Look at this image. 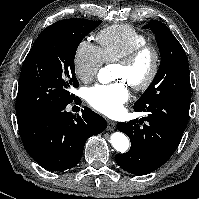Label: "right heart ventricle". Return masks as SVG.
Masks as SVG:
<instances>
[{
    "mask_svg": "<svg viewBox=\"0 0 199 199\" xmlns=\"http://www.w3.org/2000/svg\"><path fill=\"white\" fill-rule=\"evenodd\" d=\"M96 39L105 62H116L135 47L147 43V37L128 24L106 27L97 34Z\"/></svg>",
    "mask_w": 199,
    "mask_h": 199,
    "instance_id": "obj_1",
    "label": "right heart ventricle"
}]
</instances>
